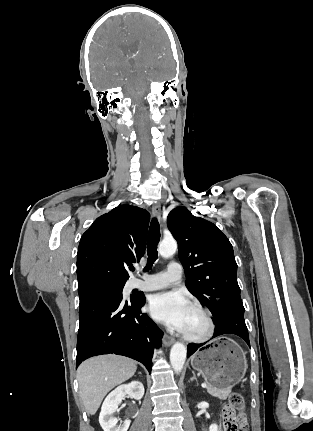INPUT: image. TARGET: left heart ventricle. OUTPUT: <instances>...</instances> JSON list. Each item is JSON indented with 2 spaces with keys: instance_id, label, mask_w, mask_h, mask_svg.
I'll list each match as a JSON object with an SVG mask.
<instances>
[{
  "instance_id": "left-heart-ventricle-1",
  "label": "left heart ventricle",
  "mask_w": 313,
  "mask_h": 431,
  "mask_svg": "<svg viewBox=\"0 0 313 431\" xmlns=\"http://www.w3.org/2000/svg\"><path fill=\"white\" fill-rule=\"evenodd\" d=\"M207 330V321L204 315L198 310L190 307L186 324L183 333L192 335V336H200L203 335Z\"/></svg>"
}]
</instances>
